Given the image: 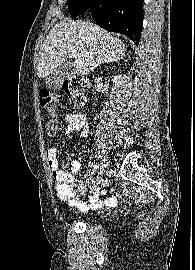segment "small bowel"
<instances>
[{"instance_id": "c3829d8e", "label": "small bowel", "mask_w": 195, "mask_h": 270, "mask_svg": "<svg viewBox=\"0 0 195 270\" xmlns=\"http://www.w3.org/2000/svg\"><path fill=\"white\" fill-rule=\"evenodd\" d=\"M63 122L66 125L65 133L67 135L73 134L78 132L81 138H86L89 136V129L86 117L81 113H67L64 118ZM47 159L49 163L50 170L52 175L55 179L56 175L59 173H63L60 169V165L64 160V157H59L57 147H51L47 151ZM80 169V163L77 160H73L69 164V171L71 174L76 175ZM83 193L84 186L80 185L77 188H71L67 193H61L57 190L58 197L62 201H66L70 203L71 206L78 208L81 211H87L89 205L83 203L75 198L76 193ZM117 204V197L116 196H109L106 199H101V193L98 189L93 191V196L90 199V207L98 208L103 205L107 206H115Z\"/></svg>"}]
</instances>
